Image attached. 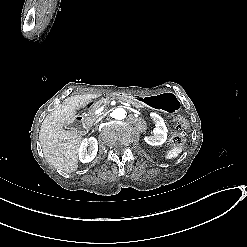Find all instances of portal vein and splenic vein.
<instances>
[{"label":"portal vein and splenic vein","mask_w":247,"mask_h":247,"mask_svg":"<svg viewBox=\"0 0 247 247\" xmlns=\"http://www.w3.org/2000/svg\"><path fill=\"white\" fill-rule=\"evenodd\" d=\"M119 103H121L124 106H129V103H125L123 100H119ZM103 109H105V106H101L94 110L95 115H100L103 113Z\"/></svg>","instance_id":"obj_1"}]
</instances>
